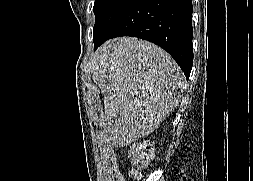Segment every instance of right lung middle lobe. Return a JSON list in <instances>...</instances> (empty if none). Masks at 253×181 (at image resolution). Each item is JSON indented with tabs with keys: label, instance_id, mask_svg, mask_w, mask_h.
Segmentation results:
<instances>
[{
	"label": "right lung middle lobe",
	"instance_id": "1",
	"mask_svg": "<svg viewBox=\"0 0 253 181\" xmlns=\"http://www.w3.org/2000/svg\"><path fill=\"white\" fill-rule=\"evenodd\" d=\"M132 0H95L93 11L95 25L93 36L100 35Z\"/></svg>",
	"mask_w": 253,
	"mask_h": 181
}]
</instances>
